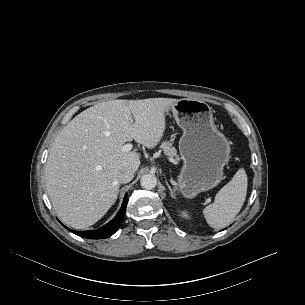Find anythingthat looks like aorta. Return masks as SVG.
Instances as JSON below:
<instances>
[{
	"mask_svg": "<svg viewBox=\"0 0 305 305\" xmlns=\"http://www.w3.org/2000/svg\"><path fill=\"white\" fill-rule=\"evenodd\" d=\"M141 187L147 190H151L157 185V178L154 174H145L140 180Z\"/></svg>",
	"mask_w": 305,
	"mask_h": 305,
	"instance_id": "obj_1",
	"label": "aorta"
}]
</instances>
